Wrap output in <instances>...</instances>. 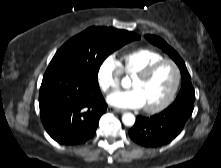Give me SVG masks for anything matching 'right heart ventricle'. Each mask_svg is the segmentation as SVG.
<instances>
[{
  "label": "right heart ventricle",
  "instance_id": "obj_1",
  "mask_svg": "<svg viewBox=\"0 0 221 168\" xmlns=\"http://www.w3.org/2000/svg\"><path fill=\"white\" fill-rule=\"evenodd\" d=\"M164 56L154 50L140 48L130 51L121 57V70L129 76H135L150 64L163 59Z\"/></svg>",
  "mask_w": 221,
  "mask_h": 168
}]
</instances>
